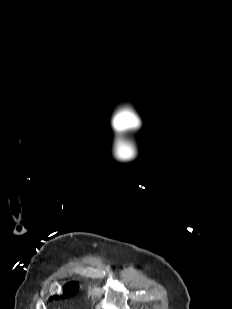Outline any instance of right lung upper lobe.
I'll return each mask as SVG.
<instances>
[{
    "label": "right lung upper lobe",
    "instance_id": "1",
    "mask_svg": "<svg viewBox=\"0 0 232 309\" xmlns=\"http://www.w3.org/2000/svg\"><path fill=\"white\" fill-rule=\"evenodd\" d=\"M69 288V289H71L72 291H76L77 292V287L74 285V283H70L68 286H66V288ZM75 292V293H76ZM74 293V294H75ZM72 296V295H71ZM62 298H63V296H61ZM53 298H55V299H59L60 297L59 296H54ZM50 299H52V298H50Z\"/></svg>",
    "mask_w": 232,
    "mask_h": 309
}]
</instances>
